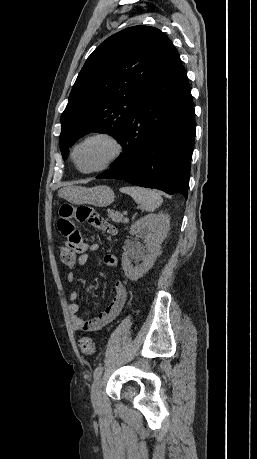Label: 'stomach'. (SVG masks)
I'll list each match as a JSON object with an SVG mask.
<instances>
[{
  "mask_svg": "<svg viewBox=\"0 0 257 459\" xmlns=\"http://www.w3.org/2000/svg\"><path fill=\"white\" fill-rule=\"evenodd\" d=\"M60 196L74 204H90L96 207H105L114 201L113 190L105 185L87 188L70 186L60 191Z\"/></svg>",
  "mask_w": 257,
  "mask_h": 459,
  "instance_id": "stomach-1",
  "label": "stomach"
}]
</instances>
